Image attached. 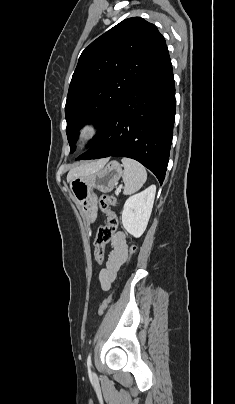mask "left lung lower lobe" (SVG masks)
<instances>
[{"label":"left lung lower lobe","instance_id":"0a47b994","mask_svg":"<svg viewBox=\"0 0 235 404\" xmlns=\"http://www.w3.org/2000/svg\"><path fill=\"white\" fill-rule=\"evenodd\" d=\"M175 120V86L168 50L134 86L90 148L77 160L129 157L163 183Z\"/></svg>","mask_w":235,"mask_h":404}]
</instances>
